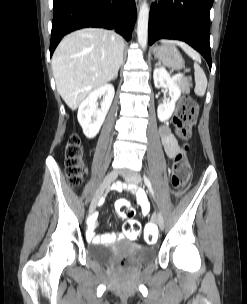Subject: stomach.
<instances>
[{
	"mask_svg": "<svg viewBox=\"0 0 247 304\" xmlns=\"http://www.w3.org/2000/svg\"><path fill=\"white\" fill-rule=\"evenodd\" d=\"M153 54L168 68L180 70L185 65L183 57L173 43L164 42L162 45L155 46Z\"/></svg>",
	"mask_w": 247,
	"mask_h": 304,
	"instance_id": "1",
	"label": "stomach"
}]
</instances>
